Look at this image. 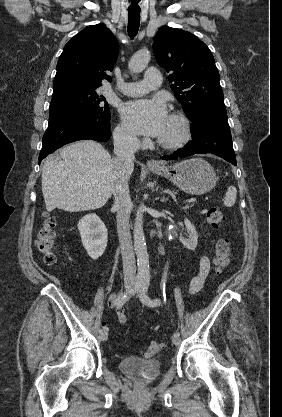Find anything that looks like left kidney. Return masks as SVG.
I'll return each instance as SVG.
<instances>
[{
    "label": "left kidney",
    "mask_w": 282,
    "mask_h": 417,
    "mask_svg": "<svg viewBox=\"0 0 282 417\" xmlns=\"http://www.w3.org/2000/svg\"><path fill=\"white\" fill-rule=\"evenodd\" d=\"M184 225H185V231L186 233H180L179 241L186 247V249H189V251H194L197 247L198 243V235L196 233V229L194 225H192L191 221L189 219H184ZM183 235H186V237H183Z\"/></svg>",
    "instance_id": "left-kidney-1"
}]
</instances>
